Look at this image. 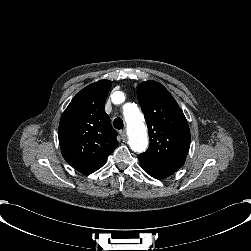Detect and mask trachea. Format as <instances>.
<instances>
[{"label": "trachea", "instance_id": "1", "mask_svg": "<svg viewBox=\"0 0 251 251\" xmlns=\"http://www.w3.org/2000/svg\"><path fill=\"white\" fill-rule=\"evenodd\" d=\"M113 126L118 129V130H121L123 129L124 127V123H123V120L121 118H116L114 121H113Z\"/></svg>", "mask_w": 251, "mask_h": 251}]
</instances>
